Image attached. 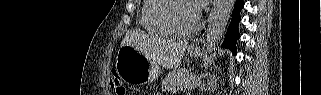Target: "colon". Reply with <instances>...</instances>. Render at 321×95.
Segmentation results:
<instances>
[{
    "instance_id": "5ec220e1",
    "label": "colon",
    "mask_w": 321,
    "mask_h": 95,
    "mask_svg": "<svg viewBox=\"0 0 321 95\" xmlns=\"http://www.w3.org/2000/svg\"><path fill=\"white\" fill-rule=\"evenodd\" d=\"M110 84L112 89L118 95H125L126 89L117 73H112L110 77Z\"/></svg>"
}]
</instances>
